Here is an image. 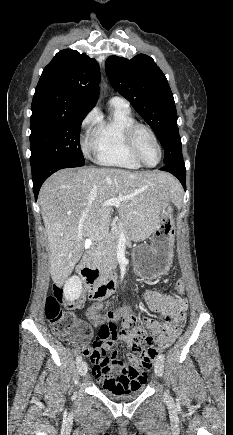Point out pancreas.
I'll return each mask as SVG.
<instances>
[{"label":"pancreas","instance_id":"cf45deb5","mask_svg":"<svg viewBox=\"0 0 233 435\" xmlns=\"http://www.w3.org/2000/svg\"><path fill=\"white\" fill-rule=\"evenodd\" d=\"M122 224L124 226V232L127 234L124 222ZM120 235V227L114 226L95 256V263L102 273L111 271L116 265L117 245Z\"/></svg>","mask_w":233,"mask_h":435}]
</instances>
